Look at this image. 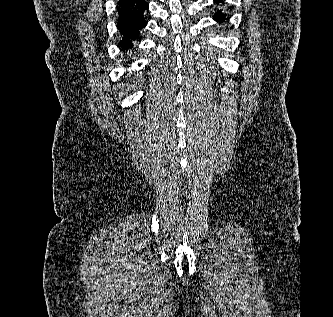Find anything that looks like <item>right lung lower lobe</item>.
Instances as JSON below:
<instances>
[{
	"instance_id": "obj_1",
	"label": "right lung lower lobe",
	"mask_w": 333,
	"mask_h": 317,
	"mask_svg": "<svg viewBox=\"0 0 333 317\" xmlns=\"http://www.w3.org/2000/svg\"><path fill=\"white\" fill-rule=\"evenodd\" d=\"M145 0H119L117 5V28L122 36L120 48L128 50L133 47V41L139 39V33L147 25L144 12L148 9Z\"/></svg>"
}]
</instances>
